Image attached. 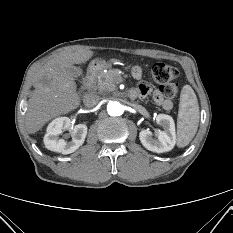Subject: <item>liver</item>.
<instances>
[{
	"mask_svg": "<svg viewBox=\"0 0 233 233\" xmlns=\"http://www.w3.org/2000/svg\"><path fill=\"white\" fill-rule=\"evenodd\" d=\"M94 52L79 47L49 60L34 76V87L25 117L30 134L39 131L51 119L67 114L80 105L74 77L66 68L88 61Z\"/></svg>",
	"mask_w": 233,
	"mask_h": 233,
	"instance_id": "6515ba94",
	"label": "liver"
}]
</instances>
